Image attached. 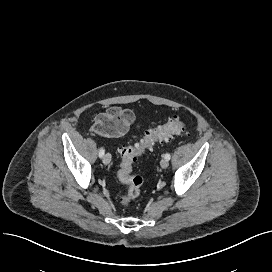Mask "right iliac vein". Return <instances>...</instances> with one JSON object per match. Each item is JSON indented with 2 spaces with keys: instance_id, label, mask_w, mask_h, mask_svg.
<instances>
[{
  "instance_id": "right-iliac-vein-1",
  "label": "right iliac vein",
  "mask_w": 272,
  "mask_h": 272,
  "mask_svg": "<svg viewBox=\"0 0 272 272\" xmlns=\"http://www.w3.org/2000/svg\"><path fill=\"white\" fill-rule=\"evenodd\" d=\"M111 162V155L109 153H106L103 157V163L104 164H109Z\"/></svg>"
}]
</instances>
